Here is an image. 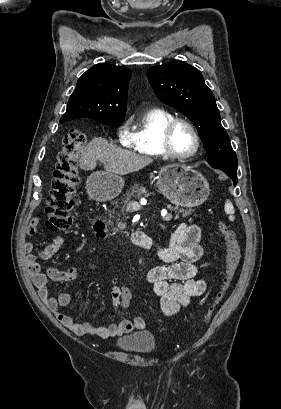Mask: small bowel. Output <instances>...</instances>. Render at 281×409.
Here are the masks:
<instances>
[{"instance_id": "obj_1", "label": "small bowel", "mask_w": 281, "mask_h": 409, "mask_svg": "<svg viewBox=\"0 0 281 409\" xmlns=\"http://www.w3.org/2000/svg\"><path fill=\"white\" fill-rule=\"evenodd\" d=\"M44 220L42 217L39 219ZM33 219L28 227L29 235L39 232L40 221ZM62 238L41 250L37 255L32 253L33 243H25L27 252V266L32 276L33 283L37 288L39 298L51 309L57 319L74 334L95 335L100 338L110 336H122L132 331L145 328V321L141 317L132 320H123L118 324L109 326L88 323H77L72 317L65 314L62 308L71 303L69 293H60L57 298L49 296L48 284L53 282H68L77 278L75 268L61 270L49 268L46 273L41 272L37 259L47 260L55 255L61 248ZM149 247H153L158 257L165 262L148 270L146 280L152 287L155 295L160 297V308L164 315L173 316L179 309L190 303L194 297L201 296L205 291L204 281L198 279L196 262L203 254L201 232L198 226L182 222L178 225L167 246H162L149 240ZM132 297L128 287H121L117 277L112 278L111 298L116 308H125ZM88 309V308H87Z\"/></svg>"}]
</instances>
